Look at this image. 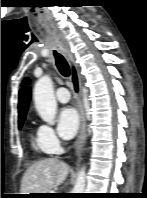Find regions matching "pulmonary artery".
<instances>
[{"instance_id":"e3ab8cb5","label":"pulmonary artery","mask_w":147,"mask_h":198,"mask_svg":"<svg viewBox=\"0 0 147 198\" xmlns=\"http://www.w3.org/2000/svg\"><path fill=\"white\" fill-rule=\"evenodd\" d=\"M55 96L60 103H67L70 100V93L65 87L58 88Z\"/></svg>"}]
</instances>
